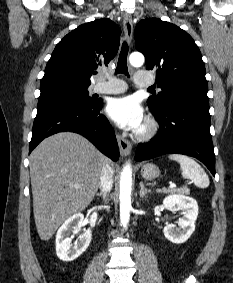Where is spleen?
<instances>
[{
    "label": "spleen",
    "mask_w": 233,
    "mask_h": 283,
    "mask_svg": "<svg viewBox=\"0 0 233 283\" xmlns=\"http://www.w3.org/2000/svg\"><path fill=\"white\" fill-rule=\"evenodd\" d=\"M169 159L180 164L183 178L190 179L200 188L209 186V178L203 168L192 158L182 154H171Z\"/></svg>",
    "instance_id": "1"
}]
</instances>
